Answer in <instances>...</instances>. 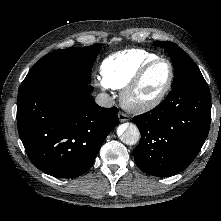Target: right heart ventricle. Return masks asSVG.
Segmentation results:
<instances>
[{
    "instance_id": "1",
    "label": "right heart ventricle",
    "mask_w": 221,
    "mask_h": 221,
    "mask_svg": "<svg viewBox=\"0 0 221 221\" xmlns=\"http://www.w3.org/2000/svg\"><path fill=\"white\" fill-rule=\"evenodd\" d=\"M158 57L157 54L144 49H130L114 53L102 61L101 79L111 89H123L142 66Z\"/></svg>"
}]
</instances>
